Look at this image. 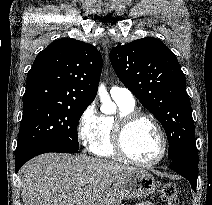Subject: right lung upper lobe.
Returning a JSON list of instances; mask_svg holds the SVG:
<instances>
[{"label":"right lung upper lobe","mask_w":212,"mask_h":205,"mask_svg":"<svg viewBox=\"0 0 212 205\" xmlns=\"http://www.w3.org/2000/svg\"><path fill=\"white\" fill-rule=\"evenodd\" d=\"M102 64L94 46L72 38L55 40L36 56L23 103L89 105L96 97Z\"/></svg>","instance_id":"cb5924a9"}]
</instances>
